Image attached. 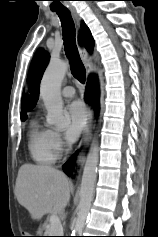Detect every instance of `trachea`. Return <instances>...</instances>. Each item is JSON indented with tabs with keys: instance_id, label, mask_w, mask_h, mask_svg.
<instances>
[{
	"instance_id": "trachea-1",
	"label": "trachea",
	"mask_w": 158,
	"mask_h": 237,
	"mask_svg": "<svg viewBox=\"0 0 158 237\" xmlns=\"http://www.w3.org/2000/svg\"><path fill=\"white\" fill-rule=\"evenodd\" d=\"M61 20L64 50L70 61L71 73L80 82H85L86 70L80 59L75 39V27L68 9L55 10Z\"/></svg>"
}]
</instances>
